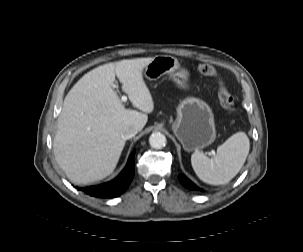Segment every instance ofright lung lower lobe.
I'll list each match as a JSON object with an SVG mask.
<instances>
[{
    "label": "right lung lower lobe",
    "instance_id": "1",
    "mask_svg": "<svg viewBox=\"0 0 303 252\" xmlns=\"http://www.w3.org/2000/svg\"><path fill=\"white\" fill-rule=\"evenodd\" d=\"M134 156L135 152L130 155L126 167L115 180L97 186L78 188V190L84 191L90 196L100 198H112L119 196L128 188L133 179L135 172Z\"/></svg>",
    "mask_w": 303,
    "mask_h": 252
}]
</instances>
